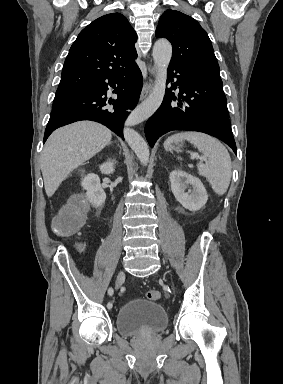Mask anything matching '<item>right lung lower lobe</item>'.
<instances>
[{
  "label": "right lung lower lobe",
  "mask_w": 283,
  "mask_h": 384,
  "mask_svg": "<svg viewBox=\"0 0 283 384\" xmlns=\"http://www.w3.org/2000/svg\"><path fill=\"white\" fill-rule=\"evenodd\" d=\"M108 86L115 88L114 92L118 95L116 100H107ZM141 89L142 74L138 66L123 75L92 84L75 101L53 109L44 142L55 129L80 120H92L106 125L124 139V121L129 110L137 105Z\"/></svg>",
  "instance_id": "98d812e1"
}]
</instances>
